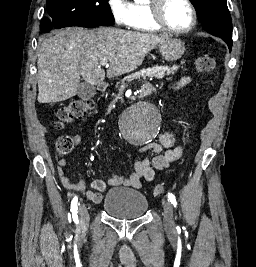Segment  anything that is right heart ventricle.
Instances as JSON below:
<instances>
[{
  "label": "right heart ventricle",
  "mask_w": 256,
  "mask_h": 267,
  "mask_svg": "<svg viewBox=\"0 0 256 267\" xmlns=\"http://www.w3.org/2000/svg\"><path fill=\"white\" fill-rule=\"evenodd\" d=\"M153 1L152 0H136L135 1V6L137 7L139 14L143 21H148L150 19V13L152 11V5ZM160 30L153 29V32H158ZM143 36H155L153 33L152 34H143Z\"/></svg>",
  "instance_id": "e07e8e85"
}]
</instances>
